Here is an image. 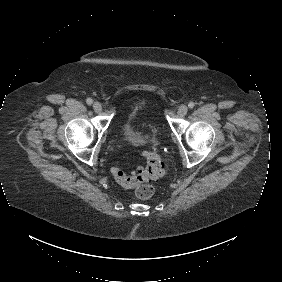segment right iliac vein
<instances>
[{
  "mask_svg": "<svg viewBox=\"0 0 282 282\" xmlns=\"http://www.w3.org/2000/svg\"><path fill=\"white\" fill-rule=\"evenodd\" d=\"M93 109H94L95 112L98 113V112H101L102 106H101V104L99 102H94Z\"/></svg>",
  "mask_w": 282,
  "mask_h": 282,
  "instance_id": "obj_1",
  "label": "right iliac vein"
}]
</instances>
